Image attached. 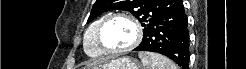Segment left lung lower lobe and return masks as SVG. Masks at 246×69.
<instances>
[{
  "label": "left lung lower lobe",
  "instance_id": "1",
  "mask_svg": "<svg viewBox=\"0 0 246 69\" xmlns=\"http://www.w3.org/2000/svg\"><path fill=\"white\" fill-rule=\"evenodd\" d=\"M134 50L163 54L182 69H188L189 32L182 1L143 32V40Z\"/></svg>",
  "mask_w": 246,
  "mask_h": 69
}]
</instances>
